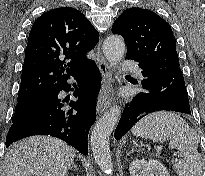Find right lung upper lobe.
Segmentation results:
<instances>
[{
    "label": "right lung upper lobe",
    "mask_w": 205,
    "mask_h": 176,
    "mask_svg": "<svg viewBox=\"0 0 205 176\" xmlns=\"http://www.w3.org/2000/svg\"><path fill=\"white\" fill-rule=\"evenodd\" d=\"M99 33L78 10L62 7L33 24L25 51L18 99L47 92L74 76L92 60Z\"/></svg>",
    "instance_id": "right-lung-upper-lobe-1"
}]
</instances>
